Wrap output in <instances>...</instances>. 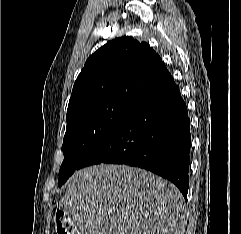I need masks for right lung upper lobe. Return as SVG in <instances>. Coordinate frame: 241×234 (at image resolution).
Instances as JSON below:
<instances>
[{
    "mask_svg": "<svg viewBox=\"0 0 241 234\" xmlns=\"http://www.w3.org/2000/svg\"><path fill=\"white\" fill-rule=\"evenodd\" d=\"M160 56L145 42L125 36L92 54L77 77L67 114L93 104H136L170 77Z\"/></svg>",
    "mask_w": 241,
    "mask_h": 234,
    "instance_id": "1",
    "label": "right lung upper lobe"
}]
</instances>
